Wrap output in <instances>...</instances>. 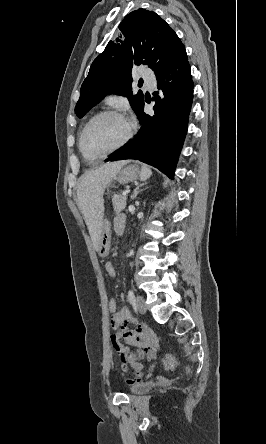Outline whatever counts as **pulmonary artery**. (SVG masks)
Segmentation results:
<instances>
[{"label": "pulmonary artery", "instance_id": "1", "mask_svg": "<svg viewBox=\"0 0 266 444\" xmlns=\"http://www.w3.org/2000/svg\"><path fill=\"white\" fill-rule=\"evenodd\" d=\"M141 77L150 89H153L155 87L156 80L151 74L146 71H141Z\"/></svg>", "mask_w": 266, "mask_h": 444}]
</instances>
